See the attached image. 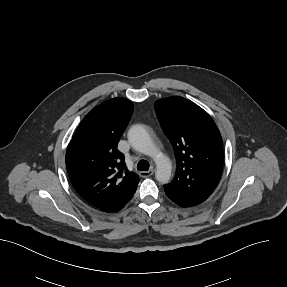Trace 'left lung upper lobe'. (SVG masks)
Instances as JSON below:
<instances>
[{
    "instance_id": "1",
    "label": "left lung upper lobe",
    "mask_w": 287,
    "mask_h": 287,
    "mask_svg": "<svg viewBox=\"0 0 287 287\" xmlns=\"http://www.w3.org/2000/svg\"><path fill=\"white\" fill-rule=\"evenodd\" d=\"M154 106L177 160L175 177L164 188L178 196L205 201L223 168L222 138L215 122L201 107L180 96L158 100Z\"/></svg>"
}]
</instances>
